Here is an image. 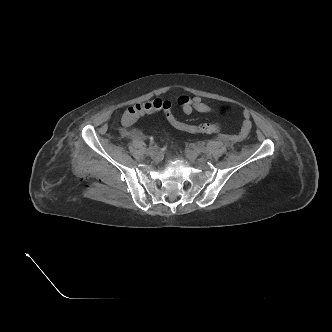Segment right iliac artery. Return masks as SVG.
<instances>
[{
  "label": "right iliac artery",
  "mask_w": 332,
  "mask_h": 332,
  "mask_svg": "<svg viewBox=\"0 0 332 332\" xmlns=\"http://www.w3.org/2000/svg\"><path fill=\"white\" fill-rule=\"evenodd\" d=\"M154 149V146L152 144H150L147 148V151L150 152Z\"/></svg>",
  "instance_id": "1"
}]
</instances>
